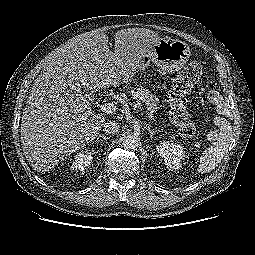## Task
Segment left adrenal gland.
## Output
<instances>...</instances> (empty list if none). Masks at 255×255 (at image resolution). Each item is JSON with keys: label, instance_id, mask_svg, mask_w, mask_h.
Masks as SVG:
<instances>
[{"label": "left adrenal gland", "instance_id": "left-adrenal-gland-1", "mask_svg": "<svg viewBox=\"0 0 255 255\" xmlns=\"http://www.w3.org/2000/svg\"><path fill=\"white\" fill-rule=\"evenodd\" d=\"M147 129H148L149 133L151 134V137H152L156 132H160L159 129H154V130H152L149 126H148Z\"/></svg>", "mask_w": 255, "mask_h": 255}]
</instances>
